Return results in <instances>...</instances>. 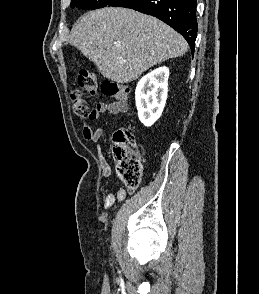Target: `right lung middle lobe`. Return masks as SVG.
I'll use <instances>...</instances> for the list:
<instances>
[{
  "label": "right lung middle lobe",
  "instance_id": "right-lung-middle-lobe-1",
  "mask_svg": "<svg viewBox=\"0 0 259 294\" xmlns=\"http://www.w3.org/2000/svg\"><path fill=\"white\" fill-rule=\"evenodd\" d=\"M129 0H71L70 6L79 9H99L106 6L120 7Z\"/></svg>",
  "mask_w": 259,
  "mask_h": 294
}]
</instances>
